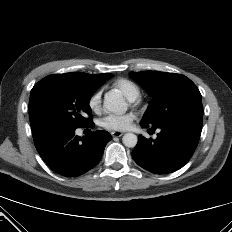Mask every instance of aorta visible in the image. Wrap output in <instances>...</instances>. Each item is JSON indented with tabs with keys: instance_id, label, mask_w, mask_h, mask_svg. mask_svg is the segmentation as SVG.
<instances>
[{
	"instance_id": "762f6f07",
	"label": "aorta",
	"mask_w": 232,
	"mask_h": 232,
	"mask_svg": "<svg viewBox=\"0 0 232 232\" xmlns=\"http://www.w3.org/2000/svg\"><path fill=\"white\" fill-rule=\"evenodd\" d=\"M103 107L105 110L118 115H122L127 111V104L123 96L116 91L106 93ZM122 141L126 147L133 148L136 146L138 139L135 134L126 133L123 136Z\"/></svg>"
}]
</instances>
